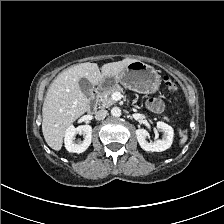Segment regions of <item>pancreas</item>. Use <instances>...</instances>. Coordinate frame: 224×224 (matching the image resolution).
Returning <instances> with one entry per match:
<instances>
[{"label": "pancreas", "mask_w": 224, "mask_h": 224, "mask_svg": "<svg viewBox=\"0 0 224 224\" xmlns=\"http://www.w3.org/2000/svg\"><path fill=\"white\" fill-rule=\"evenodd\" d=\"M114 92H124V90L120 85H114L113 87L105 89L98 94V102L101 107L108 108L115 103V101L111 98ZM164 119L169 120L167 117H164Z\"/></svg>", "instance_id": "obj_1"}]
</instances>
